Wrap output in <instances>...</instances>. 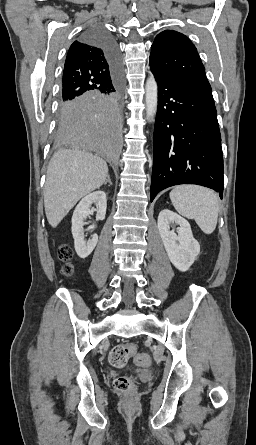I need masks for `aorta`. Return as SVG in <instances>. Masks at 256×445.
<instances>
[{"instance_id":"762f6f07","label":"aorta","mask_w":256,"mask_h":445,"mask_svg":"<svg viewBox=\"0 0 256 445\" xmlns=\"http://www.w3.org/2000/svg\"><path fill=\"white\" fill-rule=\"evenodd\" d=\"M145 90L146 118L148 121H151L156 114L158 105V87L152 74L146 81Z\"/></svg>"}]
</instances>
